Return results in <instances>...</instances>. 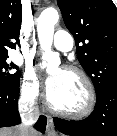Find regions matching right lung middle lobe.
I'll return each mask as SVG.
<instances>
[{
	"mask_svg": "<svg viewBox=\"0 0 117 136\" xmlns=\"http://www.w3.org/2000/svg\"><path fill=\"white\" fill-rule=\"evenodd\" d=\"M7 58L8 56L0 57V86L2 87L15 86L20 81V71H11L12 69L18 70V67L14 63L7 64Z\"/></svg>",
	"mask_w": 117,
	"mask_h": 136,
	"instance_id": "dd1d6c3e",
	"label": "right lung middle lobe"
}]
</instances>
